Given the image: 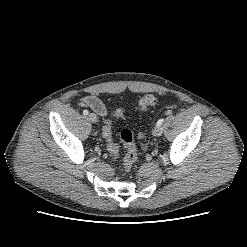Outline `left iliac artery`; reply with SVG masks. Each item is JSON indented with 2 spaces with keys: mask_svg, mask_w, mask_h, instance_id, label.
Masks as SVG:
<instances>
[{
  "mask_svg": "<svg viewBox=\"0 0 247 247\" xmlns=\"http://www.w3.org/2000/svg\"><path fill=\"white\" fill-rule=\"evenodd\" d=\"M163 122H164V119H163V118H161V119H159V120H158V122H157V124H156V125H157V126H160Z\"/></svg>",
  "mask_w": 247,
  "mask_h": 247,
  "instance_id": "1",
  "label": "left iliac artery"
}]
</instances>
